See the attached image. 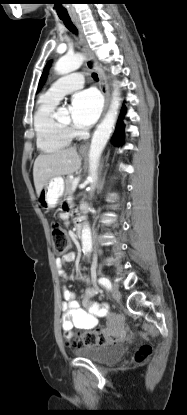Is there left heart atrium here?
I'll list each match as a JSON object with an SVG mask.
<instances>
[{
	"instance_id": "left-heart-atrium-1",
	"label": "left heart atrium",
	"mask_w": 187,
	"mask_h": 415,
	"mask_svg": "<svg viewBox=\"0 0 187 415\" xmlns=\"http://www.w3.org/2000/svg\"><path fill=\"white\" fill-rule=\"evenodd\" d=\"M100 95L93 89H86L73 95L70 116L74 126L87 128L95 123L101 111Z\"/></svg>"
}]
</instances>
